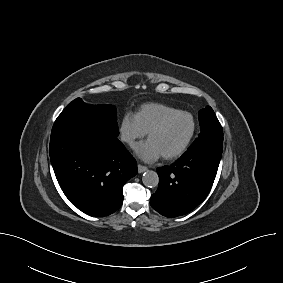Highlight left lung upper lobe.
I'll use <instances>...</instances> for the list:
<instances>
[{
  "label": "left lung upper lobe",
  "instance_id": "left-lung-upper-lobe-1",
  "mask_svg": "<svg viewBox=\"0 0 283 283\" xmlns=\"http://www.w3.org/2000/svg\"><path fill=\"white\" fill-rule=\"evenodd\" d=\"M199 123L201 132L188 150L196 147H207L222 153V126L210 106H207L205 109L199 111Z\"/></svg>",
  "mask_w": 283,
  "mask_h": 283
}]
</instances>
